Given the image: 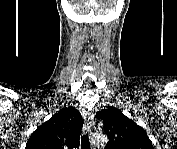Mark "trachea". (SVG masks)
Returning <instances> with one entry per match:
<instances>
[{
    "mask_svg": "<svg viewBox=\"0 0 177 149\" xmlns=\"http://www.w3.org/2000/svg\"><path fill=\"white\" fill-rule=\"evenodd\" d=\"M81 149H90V142L87 136L81 138Z\"/></svg>",
    "mask_w": 177,
    "mask_h": 149,
    "instance_id": "1",
    "label": "trachea"
}]
</instances>
